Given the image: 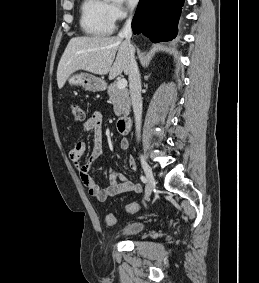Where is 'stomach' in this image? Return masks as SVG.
<instances>
[{
  "instance_id": "0dacf381",
  "label": "stomach",
  "mask_w": 259,
  "mask_h": 283,
  "mask_svg": "<svg viewBox=\"0 0 259 283\" xmlns=\"http://www.w3.org/2000/svg\"><path fill=\"white\" fill-rule=\"evenodd\" d=\"M67 81L71 85L81 86L85 90L91 92L103 91L106 88V83L103 79L88 73L71 74Z\"/></svg>"
}]
</instances>
